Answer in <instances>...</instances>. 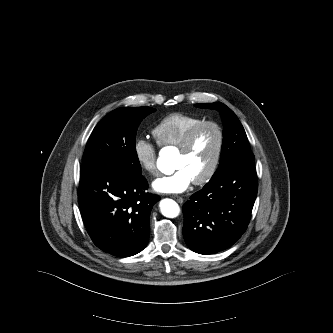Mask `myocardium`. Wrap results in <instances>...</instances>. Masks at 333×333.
Returning <instances> with one entry per match:
<instances>
[{"label":"myocardium","mask_w":333,"mask_h":333,"mask_svg":"<svg viewBox=\"0 0 333 333\" xmlns=\"http://www.w3.org/2000/svg\"><path fill=\"white\" fill-rule=\"evenodd\" d=\"M206 127H213L217 133V146L216 151L213 157V160L207 169V171L199 178L193 180V184L202 185L207 183L216 173L224 147V132L222 127L214 121H203L200 124L196 125L186 136L183 143L178 147L179 152L182 154L189 153L193 147L195 139L200 131Z\"/></svg>","instance_id":"1"}]
</instances>
